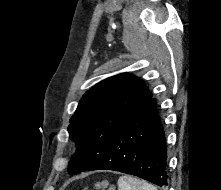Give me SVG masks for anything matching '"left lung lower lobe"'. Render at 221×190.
<instances>
[{"instance_id": "0a47b994", "label": "left lung lower lobe", "mask_w": 221, "mask_h": 190, "mask_svg": "<svg viewBox=\"0 0 221 190\" xmlns=\"http://www.w3.org/2000/svg\"><path fill=\"white\" fill-rule=\"evenodd\" d=\"M167 146L156 100L130 117L88 170H115L167 185Z\"/></svg>"}]
</instances>
